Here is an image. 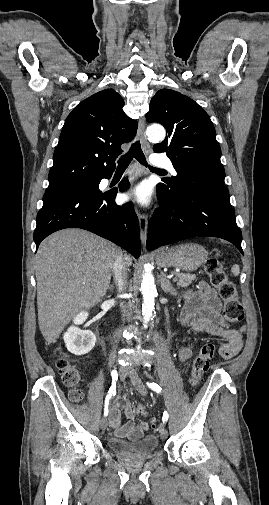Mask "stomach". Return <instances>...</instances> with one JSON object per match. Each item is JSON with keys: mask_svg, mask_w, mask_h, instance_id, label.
<instances>
[{"mask_svg": "<svg viewBox=\"0 0 269 505\" xmlns=\"http://www.w3.org/2000/svg\"><path fill=\"white\" fill-rule=\"evenodd\" d=\"M208 257L206 249L195 243H185L156 252L155 261L160 267H176L192 272L201 266Z\"/></svg>", "mask_w": 269, "mask_h": 505, "instance_id": "obj_1", "label": "stomach"}]
</instances>
